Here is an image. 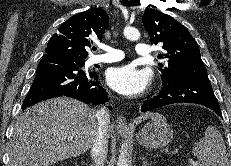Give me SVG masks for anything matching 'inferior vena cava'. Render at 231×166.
Segmentation results:
<instances>
[{
    "label": "inferior vena cava",
    "instance_id": "1",
    "mask_svg": "<svg viewBox=\"0 0 231 166\" xmlns=\"http://www.w3.org/2000/svg\"><path fill=\"white\" fill-rule=\"evenodd\" d=\"M95 117L98 122V132L91 149V155L96 166H104L108 151L110 115L106 108L96 110Z\"/></svg>",
    "mask_w": 231,
    "mask_h": 166
}]
</instances>
